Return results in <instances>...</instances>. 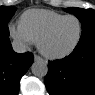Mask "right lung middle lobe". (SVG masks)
Returning <instances> with one entry per match:
<instances>
[{
	"label": "right lung middle lobe",
	"mask_w": 95,
	"mask_h": 95,
	"mask_svg": "<svg viewBox=\"0 0 95 95\" xmlns=\"http://www.w3.org/2000/svg\"><path fill=\"white\" fill-rule=\"evenodd\" d=\"M15 11L16 8L13 6H0V34L9 35L7 24Z\"/></svg>",
	"instance_id": "1"
}]
</instances>
